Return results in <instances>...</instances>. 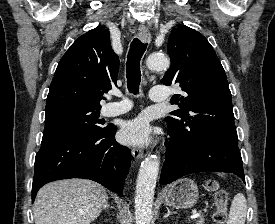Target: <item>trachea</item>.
Listing matches in <instances>:
<instances>
[{"instance_id":"obj_1","label":"trachea","mask_w":275,"mask_h":224,"mask_svg":"<svg viewBox=\"0 0 275 224\" xmlns=\"http://www.w3.org/2000/svg\"><path fill=\"white\" fill-rule=\"evenodd\" d=\"M147 48V44L134 38L130 44L126 62L127 87L130 93L136 95L139 92L141 82L140 60Z\"/></svg>"}]
</instances>
